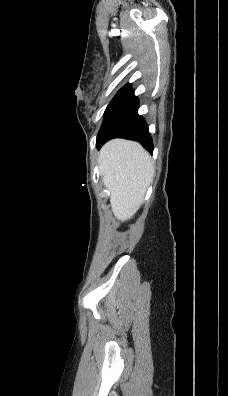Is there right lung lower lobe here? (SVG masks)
I'll return each mask as SVG.
<instances>
[{
  "label": "right lung lower lobe",
  "instance_id": "98d812e1",
  "mask_svg": "<svg viewBox=\"0 0 228 396\" xmlns=\"http://www.w3.org/2000/svg\"><path fill=\"white\" fill-rule=\"evenodd\" d=\"M113 138L138 141L150 153L153 152L148 126L144 118L138 114V99L130 87L125 88L106 109L97 135V148Z\"/></svg>",
  "mask_w": 228,
  "mask_h": 396
}]
</instances>
